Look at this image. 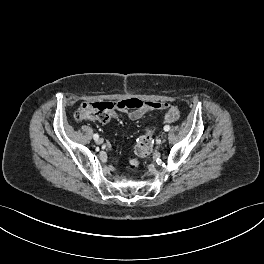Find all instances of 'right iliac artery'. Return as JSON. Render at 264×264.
I'll list each match as a JSON object with an SVG mask.
<instances>
[{"label": "right iliac artery", "instance_id": "obj_1", "mask_svg": "<svg viewBox=\"0 0 264 264\" xmlns=\"http://www.w3.org/2000/svg\"><path fill=\"white\" fill-rule=\"evenodd\" d=\"M93 138H94V140H97L99 138V135L98 134H94Z\"/></svg>", "mask_w": 264, "mask_h": 264}]
</instances>
